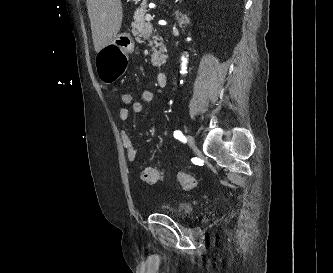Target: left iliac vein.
<instances>
[{
  "label": "left iliac vein",
  "instance_id": "left-iliac-vein-1",
  "mask_svg": "<svg viewBox=\"0 0 333 273\" xmlns=\"http://www.w3.org/2000/svg\"><path fill=\"white\" fill-rule=\"evenodd\" d=\"M187 143L190 147H195V140L193 138V136L191 135H187Z\"/></svg>",
  "mask_w": 333,
  "mask_h": 273
}]
</instances>
